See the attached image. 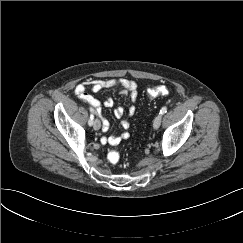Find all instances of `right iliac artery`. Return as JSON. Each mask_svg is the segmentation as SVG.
<instances>
[{"mask_svg": "<svg viewBox=\"0 0 243 243\" xmlns=\"http://www.w3.org/2000/svg\"><path fill=\"white\" fill-rule=\"evenodd\" d=\"M90 112H91V114H90V119L88 121V124H89V126H92L93 122H94L93 121V119H94V115H93L94 109L92 107H90Z\"/></svg>", "mask_w": 243, "mask_h": 243, "instance_id": "right-iliac-artery-1", "label": "right iliac artery"}]
</instances>
